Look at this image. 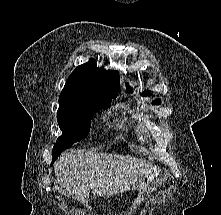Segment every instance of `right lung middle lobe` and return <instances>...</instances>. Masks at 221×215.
<instances>
[{
  "instance_id": "1",
  "label": "right lung middle lobe",
  "mask_w": 221,
  "mask_h": 215,
  "mask_svg": "<svg viewBox=\"0 0 221 215\" xmlns=\"http://www.w3.org/2000/svg\"><path fill=\"white\" fill-rule=\"evenodd\" d=\"M115 97L77 106H59L57 119L62 135L57 139L53 147V162L65 149L72 147L75 142L80 141L89 134L90 122L94 113L109 107L111 99Z\"/></svg>"
}]
</instances>
